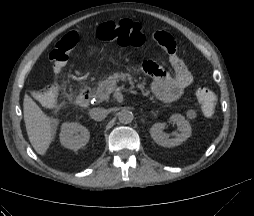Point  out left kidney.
<instances>
[{"label": "left kidney", "mask_w": 254, "mask_h": 216, "mask_svg": "<svg viewBox=\"0 0 254 216\" xmlns=\"http://www.w3.org/2000/svg\"><path fill=\"white\" fill-rule=\"evenodd\" d=\"M170 122L177 124L180 133L174 138H169V135L164 133L166 123H155L151 129L150 134L153 140L163 147H173L180 145L183 141L187 140L192 133L190 123L181 114H173L170 117Z\"/></svg>", "instance_id": "obj_1"}]
</instances>
